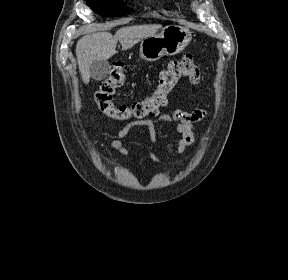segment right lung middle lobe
Listing matches in <instances>:
<instances>
[{
  "label": "right lung middle lobe",
  "instance_id": "right-lung-middle-lobe-1",
  "mask_svg": "<svg viewBox=\"0 0 288 280\" xmlns=\"http://www.w3.org/2000/svg\"><path fill=\"white\" fill-rule=\"evenodd\" d=\"M87 5L102 17L124 16L133 12L123 0H86Z\"/></svg>",
  "mask_w": 288,
  "mask_h": 280
}]
</instances>
